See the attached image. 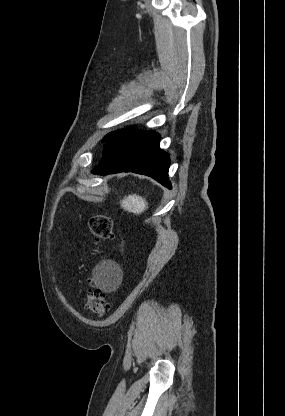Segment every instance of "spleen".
<instances>
[{"label": "spleen", "mask_w": 285, "mask_h": 416, "mask_svg": "<svg viewBox=\"0 0 285 416\" xmlns=\"http://www.w3.org/2000/svg\"><path fill=\"white\" fill-rule=\"evenodd\" d=\"M121 208L126 210V212H131V214H142L148 208V202L142 196H137V194H131V196H126L124 200L120 202Z\"/></svg>", "instance_id": "obj_1"}]
</instances>
